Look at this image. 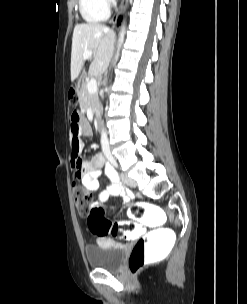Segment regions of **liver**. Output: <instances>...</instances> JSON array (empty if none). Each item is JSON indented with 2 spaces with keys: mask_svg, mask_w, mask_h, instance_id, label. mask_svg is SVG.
<instances>
[{
  "mask_svg": "<svg viewBox=\"0 0 247 304\" xmlns=\"http://www.w3.org/2000/svg\"><path fill=\"white\" fill-rule=\"evenodd\" d=\"M115 33L105 25L77 24L73 31L71 51V81H74L84 64L83 54L93 53L89 75L101 76L108 68L114 51Z\"/></svg>",
  "mask_w": 247,
  "mask_h": 304,
  "instance_id": "obj_1",
  "label": "liver"
}]
</instances>
